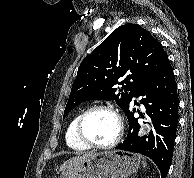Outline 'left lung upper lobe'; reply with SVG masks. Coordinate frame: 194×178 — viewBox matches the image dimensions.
Instances as JSON below:
<instances>
[{
	"label": "left lung upper lobe",
	"instance_id": "obj_1",
	"mask_svg": "<svg viewBox=\"0 0 194 178\" xmlns=\"http://www.w3.org/2000/svg\"><path fill=\"white\" fill-rule=\"evenodd\" d=\"M167 59L161 43L146 29L137 24L118 27L81 62L63 117L91 99L115 100L125 112L134 90L155 75Z\"/></svg>",
	"mask_w": 194,
	"mask_h": 178
}]
</instances>
